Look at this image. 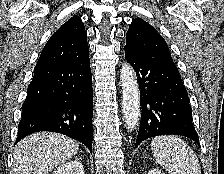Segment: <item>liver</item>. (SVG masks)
<instances>
[{
    "label": "liver",
    "mask_w": 224,
    "mask_h": 174,
    "mask_svg": "<svg viewBox=\"0 0 224 174\" xmlns=\"http://www.w3.org/2000/svg\"><path fill=\"white\" fill-rule=\"evenodd\" d=\"M78 150L77 141L59 133H33L16 145L12 174H48Z\"/></svg>",
    "instance_id": "6515ba94"
}]
</instances>
